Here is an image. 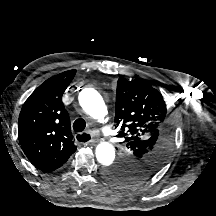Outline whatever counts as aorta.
I'll return each mask as SVG.
<instances>
[{
  "label": "aorta",
  "mask_w": 216,
  "mask_h": 216,
  "mask_svg": "<svg viewBox=\"0 0 216 216\" xmlns=\"http://www.w3.org/2000/svg\"><path fill=\"white\" fill-rule=\"evenodd\" d=\"M79 104L92 118L102 120L107 115V107L101 95L92 88L83 89L79 93ZM97 161L103 166H109L115 159V149L109 142H101L95 150Z\"/></svg>",
  "instance_id": "obj_1"
}]
</instances>
